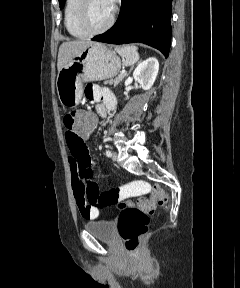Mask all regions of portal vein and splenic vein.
Here are the masks:
<instances>
[{
    "instance_id": "1",
    "label": "portal vein and splenic vein",
    "mask_w": 240,
    "mask_h": 288,
    "mask_svg": "<svg viewBox=\"0 0 240 288\" xmlns=\"http://www.w3.org/2000/svg\"><path fill=\"white\" fill-rule=\"evenodd\" d=\"M124 73H125V71H122V72H121V74H124Z\"/></svg>"
}]
</instances>
